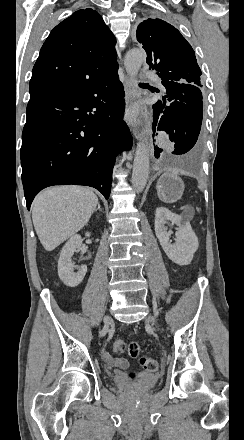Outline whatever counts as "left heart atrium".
Instances as JSON below:
<instances>
[{
  "instance_id": "1",
  "label": "left heart atrium",
  "mask_w": 244,
  "mask_h": 440,
  "mask_svg": "<svg viewBox=\"0 0 244 440\" xmlns=\"http://www.w3.org/2000/svg\"><path fill=\"white\" fill-rule=\"evenodd\" d=\"M135 114H136V112L133 110V111H131V112L129 113V117H130V118H133V117L135 116Z\"/></svg>"
}]
</instances>
